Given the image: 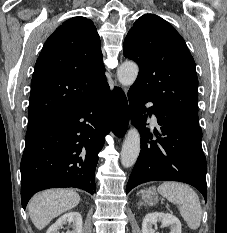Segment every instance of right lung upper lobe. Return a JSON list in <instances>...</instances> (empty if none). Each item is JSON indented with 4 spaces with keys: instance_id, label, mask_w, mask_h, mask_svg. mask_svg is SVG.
<instances>
[{
    "instance_id": "cb5924a9",
    "label": "right lung upper lobe",
    "mask_w": 227,
    "mask_h": 233,
    "mask_svg": "<svg viewBox=\"0 0 227 233\" xmlns=\"http://www.w3.org/2000/svg\"><path fill=\"white\" fill-rule=\"evenodd\" d=\"M100 38L90 19L65 21L45 42L37 59L28 128L94 96L106 83Z\"/></svg>"
}]
</instances>
